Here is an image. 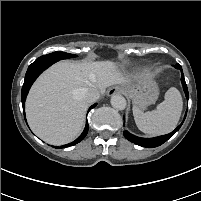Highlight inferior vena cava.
Instances as JSON below:
<instances>
[{
	"label": "inferior vena cava",
	"mask_w": 201,
	"mask_h": 201,
	"mask_svg": "<svg viewBox=\"0 0 201 201\" xmlns=\"http://www.w3.org/2000/svg\"><path fill=\"white\" fill-rule=\"evenodd\" d=\"M100 97V93L96 88H86L84 90V98L89 103L98 100Z\"/></svg>",
	"instance_id": "1"
}]
</instances>
